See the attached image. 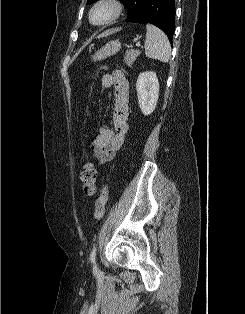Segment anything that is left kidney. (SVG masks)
<instances>
[{
  "label": "left kidney",
  "instance_id": "5707ae66",
  "mask_svg": "<svg viewBox=\"0 0 245 314\" xmlns=\"http://www.w3.org/2000/svg\"><path fill=\"white\" fill-rule=\"evenodd\" d=\"M139 107L144 115L155 110L159 97V82L155 72L140 73L136 82Z\"/></svg>",
  "mask_w": 245,
  "mask_h": 314
}]
</instances>
